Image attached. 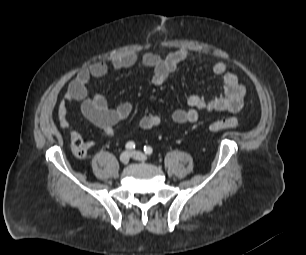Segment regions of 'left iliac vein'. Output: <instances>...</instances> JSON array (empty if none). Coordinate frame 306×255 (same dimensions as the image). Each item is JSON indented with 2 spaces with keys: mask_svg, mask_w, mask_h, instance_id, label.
<instances>
[{
  "mask_svg": "<svg viewBox=\"0 0 306 255\" xmlns=\"http://www.w3.org/2000/svg\"><path fill=\"white\" fill-rule=\"evenodd\" d=\"M131 157L135 160H138V161H142V162H146L147 161V156L140 152V151H132L130 153Z\"/></svg>",
  "mask_w": 306,
  "mask_h": 255,
  "instance_id": "obj_1",
  "label": "left iliac vein"
}]
</instances>
